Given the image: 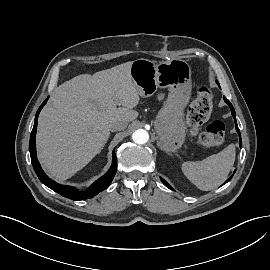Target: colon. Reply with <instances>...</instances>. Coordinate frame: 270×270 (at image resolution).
Returning a JSON list of instances; mask_svg holds the SVG:
<instances>
[{
    "label": "colon",
    "mask_w": 270,
    "mask_h": 270,
    "mask_svg": "<svg viewBox=\"0 0 270 270\" xmlns=\"http://www.w3.org/2000/svg\"><path fill=\"white\" fill-rule=\"evenodd\" d=\"M213 92L202 86L187 111V123L193 135L198 137L205 148L220 145L224 140L225 126L222 121L214 120L207 124L203 131L200 126L209 118L212 111Z\"/></svg>",
    "instance_id": "5ec220e1"
}]
</instances>
